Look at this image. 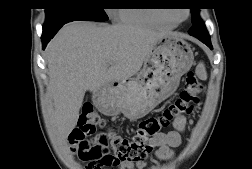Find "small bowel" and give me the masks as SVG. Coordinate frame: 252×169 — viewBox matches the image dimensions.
I'll list each match as a JSON object with an SVG mask.
<instances>
[{
	"instance_id": "obj_1",
	"label": "small bowel",
	"mask_w": 252,
	"mask_h": 169,
	"mask_svg": "<svg viewBox=\"0 0 252 169\" xmlns=\"http://www.w3.org/2000/svg\"><path fill=\"white\" fill-rule=\"evenodd\" d=\"M174 130L167 133H161L150 140L152 148L156 149V156L160 160H169L172 158L174 149L181 144V133L186 128V118L179 116L174 120ZM146 162H123L119 169H145Z\"/></svg>"
}]
</instances>
